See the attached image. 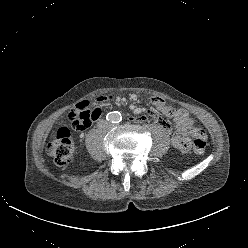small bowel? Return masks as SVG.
<instances>
[{
  "instance_id": "small-bowel-1",
  "label": "small bowel",
  "mask_w": 248,
  "mask_h": 248,
  "mask_svg": "<svg viewBox=\"0 0 248 248\" xmlns=\"http://www.w3.org/2000/svg\"><path fill=\"white\" fill-rule=\"evenodd\" d=\"M104 97V96H103ZM102 98V97H101ZM99 99L100 101H108ZM151 104L153 108L159 110L161 112L162 117L169 121H174L177 124L178 130L174 132L171 136L172 146L178 149L181 152H187L191 147V140L189 137L190 133H194L195 129H193V122L188 113L185 110L179 109L177 110L172 105H169L167 101H164L159 96H154L151 99ZM135 113L140 114L143 112L142 108H135ZM151 115L147 116L146 121L152 126L158 125L160 123L165 129H170V124L159 117L158 114L152 112V109H149ZM101 116V109L98 108V115L96 119ZM144 118V117H142ZM95 119V120H96Z\"/></svg>"
}]
</instances>
